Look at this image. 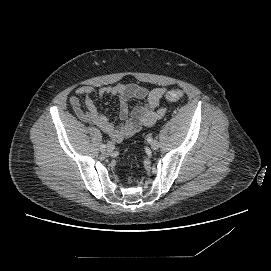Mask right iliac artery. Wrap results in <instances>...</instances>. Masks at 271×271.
I'll use <instances>...</instances> for the list:
<instances>
[{
    "label": "right iliac artery",
    "mask_w": 271,
    "mask_h": 271,
    "mask_svg": "<svg viewBox=\"0 0 271 271\" xmlns=\"http://www.w3.org/2000/svg\"><path fill=\"white\" fill-rule=\"evenodd\" d=\"M105 149H106V145H105V144H102V145L100 146V150L103 152V151H105Z\"/></svg>",
    "instance_id": "82829eb1"
}]
</instances>
